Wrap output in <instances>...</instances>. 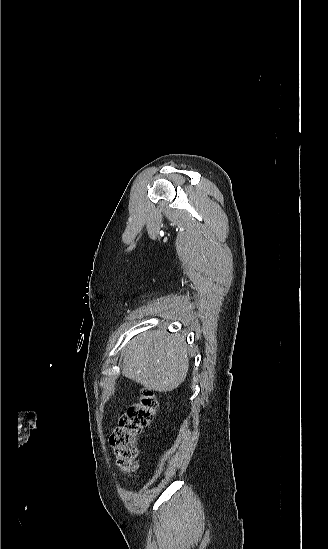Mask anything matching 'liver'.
Wrapping results in <instances>:
<instances>
[{
	"mask_svg": "<svg viewBox=\"0 0 328 549\" xmlns=\"http://www.w3.org/2000/svg\"><path fill=\"white\" fill-rule=\"evenodd\" d=\"M166 327L142 333L127 345L122 367L123 377L145 389L168 393L185 381L189 369L185 337L165 335Z\"/></svg>",
	"mask_w": 328,
	"mask_h": 549,
	"instance_id": "obj_1",
	"label": "liver"
}]
</instances>
